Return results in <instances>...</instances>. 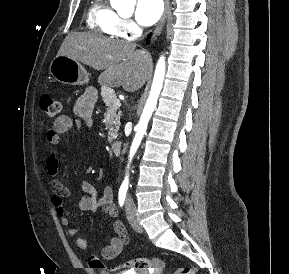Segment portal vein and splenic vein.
I'll return each instance as SVG.
<instances>
[{
    "mask_svg": "<svg viewBox=\"0 0 289 274\" xmlns=\"http://www.w3.org/2000/svg\"><path fill=\"white\" fill-rule=\"evenodd\" d=\"M115 104H116V105H120V101L117 99V100L115 101Z\"/></svg>",
    "mask_w": 289,
    "mask_h": 274,
    "instance_id": "portal-vein-and-splenic-vein-1",
    "label": "portal vein and splenic vein"
}]
</instances>
